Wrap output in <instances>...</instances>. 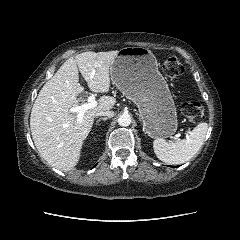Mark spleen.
Segmentation results:
<instances>
[{"mask_svg": "<svg viewBox=\"0 0 240 240\" xmlns=\"http://www.w3.org/2000/svg\"><path fill=\"white\" fill-rule=\"evenodd\" d=\"M208 124L199 123L186 137L179 141H166L157 138L153 142L157 158L167 164L178 165L191 159L204 143Z\"/></svg>", "mask_w": 240, "mask_h": 240, "instance_id": "spleen-1", "label": "spleen"}]
</instances>
